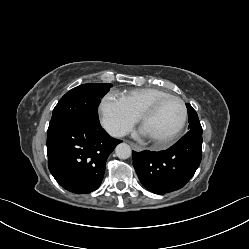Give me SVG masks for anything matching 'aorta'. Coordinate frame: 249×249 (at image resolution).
<instances>
[{
    "mask_svg": "<svg viewBox=\"0 0 249 249\" xmlns=\"http://www.w3.org/2000/svg\"><path fill=\"white\" fill-rule=\"evenodd\" d=\"M115 153L120 159H128L132 154V150L128 144L120 143L116 146Z\"/></svg>",
    "mask_w": 249,
    "mask_h": 249,
    "instance_id": "1",
    "label": "aorta"
}]
</instances>
